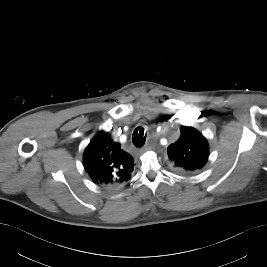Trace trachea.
<instances>
[{"mask_svg": "<svg viewBox=\"0 0 267 267\" xmlns=\"http://www.w3.org/2000/svg\"><path fill=\"white\" fill-rule=\"evenodd\" d=\"M133 144L136 147H142L146 141V133L144 134V128H136L132 135Z\"/></svg>", "mask_w": 267, "mask_h": 267, "instance_id": "3493384b", "label": "trachea"}]
</instances>
